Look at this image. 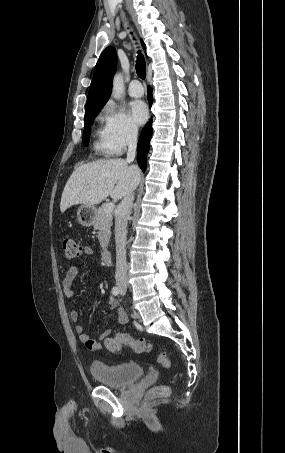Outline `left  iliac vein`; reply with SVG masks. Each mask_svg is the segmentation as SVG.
Here are the masks:
<instances>
[{"label":"left iliac vein","mask_w":285,"mask_h":453,"mask_svg":"<svg viewBox=\"0 0 285 453\" xmlns=\"http://www.w3.org/2000/svg\"><path fill=\"white\" fill-rule=\"evenodd\" d=\"M121 295H125V290H121Z\"/></svg>","instance_id":"obj_1"}]
</instances>
